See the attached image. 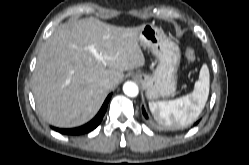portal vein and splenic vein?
Instances as JSON below:
<instances>
[{
    "label": "portal vein and splenic vein",
    "mask_w": 249,
    "mask_h": 165,
    "mask_svg": "<svg viewBox=\"0 0 249 165\" xmlns=\"http://www.w3.org/2000/svg\"><path fill=\"white\" fill-rule=\"evenodd\" d=\"M88 49L92 52L94 57L99 61H102L104 59H111V57H109V56H103V55L99 54L94 45L88 46Z\"/></svg>",
    "instance_id": "18ae733b"
}]
</instances>
